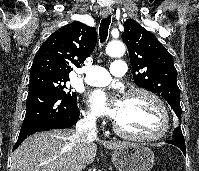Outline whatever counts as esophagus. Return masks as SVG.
I'll return each mask as SVG.
<instances>
[{
    "mask_svg": "<svg viewBox=\"0 0 199 171\" xmlns=\"http://www.w3.org/2000/svg\"><path fill=\"white\" fill-rule=\"evenodd\" d=\"M110 13H111V12L108 11V10L103 11V12H102V16H103V17H108V16L110 15Z\"/></svg>",
    "mask_w": 199,
    "mask_h": 171,
    "instance_id": "34e87169",
    "label": "esophagus"
}]
</instances>
